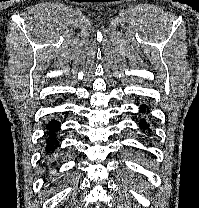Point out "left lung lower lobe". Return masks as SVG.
<instances>
[{
	"label": "left lung lower lobe",
	"mask_w": 199,
	"mask_h": 208,
	"mask_svg": "<svg viewBox=\"0 0 199 208\" xmlns=\"http://www.w3.org/2000/svg\"><path fill=\"white\" fill-rule=\"evenodd\" d=\"M143 111H146L145 105H142V111L140 112H143ZM139 126L145 131V129L148 128L149 124H147V122L144 119H142L139 123Z\"/></svg>",
	"instance_id": "1"
}]
</instances>
